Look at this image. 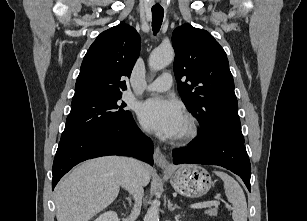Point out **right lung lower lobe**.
<instances>
[{"mask_svg":"<svg viewBox=\"0 0 307 221\" xmlns=\"http://www.w3.org/2000/svg\"><path fill=\"white\" fill-rule=\"evenodd\" d=\"M106 155H132L153 165V143L132 116L115 125L62 139L53 162L52 189L73 166Z\"/></svg>","mask_w":307,"mask_h":221,"instance_id":"98d812e1","label":"right lung lower lobe"}]
</instances>
